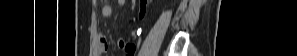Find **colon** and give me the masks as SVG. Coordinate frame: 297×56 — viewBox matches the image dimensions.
<instances>
[{
	"instance_id": "colon-1",
	"label": "colon",
	"mask_w": 297,
	"mask_h": 56,
	"mask_svg": "<svg viewBox=\"0 0 297 56\" xmlns=\"http://www.w3.org/2000/svg\"><path fill=\"white\" fill-rule=\"evenodd\" d=\"M145 8H146V0H142L141 1V14H143L145 12Z\"/></svg>"
}]
</instances>
